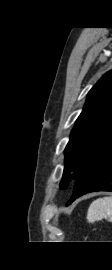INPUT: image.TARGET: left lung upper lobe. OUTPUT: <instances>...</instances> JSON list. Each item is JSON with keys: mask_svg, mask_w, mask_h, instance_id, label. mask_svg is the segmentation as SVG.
Returning <instances> with one entry per match:
<instances>
[{"mask_svg": "<svg viewBox=\"0 0 112 270\" xmlns=\"http://www.w3.org/2000/svg\"><path fill=\"white\" fill-rule=\"evenodd\" d=\"M112 148V70L90 90L65 149L60 188L78 179Z\"/></svg>", "mask_w": 112, "mask_h": 270, "instance_id": "5c2ea615", "label": "left lung upper lobe"}]
</instances>
